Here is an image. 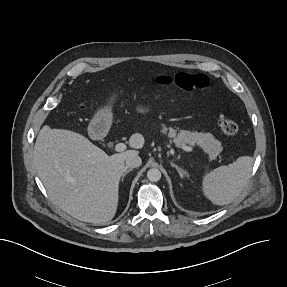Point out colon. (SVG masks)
<instances>
[{
	"label": "colon",
	"mask_w": 287,
	"mask_h": 287,
	"mask_svg": "<svg viewBox=\"0 0 287 287\" xmlns=\"http://www.w3.org/2000/svg\"><path fill=\"white\" fill-rule=\"evenodd\" d=\"M158 84L166 85L174 83L177 87L184 90L202 91L209 85V78L205 74H194L188 72H180L173 77L167 75H158L155 78ZM218 127L221 131L228 135H235L239 132V125L236 121L220 113L217 119Z\"/></svg>",
	"instance_id": "1"
}]
</instances>
